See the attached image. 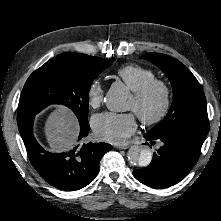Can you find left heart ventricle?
Wrapping results in <instances>:
<instances>
[{"label": "left heart ventricle", "mask_w": 221, "mask_h": 221, "mask_svg": "<svg viewBox=\"0 0 221 221\" xmlns=\"http://www.w3.org/2000/svg\"><path fill=\"white\" fill-rule=\"evenodd\" d=\"M161 104V96L159 92H154L143 104L138 105L134 98L131 97L126 109L132 110L135 113L140 112L146 116H152L155 114Z\"/></svg>", "instance_id": "1"}]
</instances>
